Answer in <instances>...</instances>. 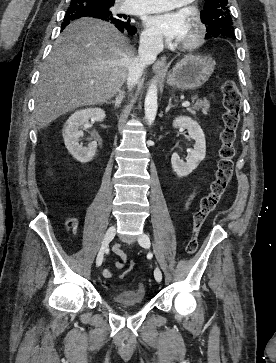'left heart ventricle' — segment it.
Here are the masks:
<instances>
[{"instance_id": "b2bd125f", "label": "left heart ventricle", "mask_w": 276, "mask_h": 363, "mask_svg": "<svg viewBox=\"0 0 276 363\" xmlns=\"http://www.w3.org/2000/svg\"><path fill=\"white\" fill-rule=\"evenodd\" d=\"M192 34H193V28H192L191 24H189L188 31H187V33L185 34V36H184V38H183L182 42H183V41H185V40H188V39L192 36Z\"/></svg>"}]
</instances>
